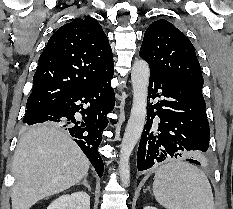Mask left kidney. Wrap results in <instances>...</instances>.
I'll return each mask as SVG.
<instances>
[{
    "instance_id": "obj_1",
    "label": "left kidney",
    "mask_w": 233,
    "mask_h": 209,
    "mask_svg": "<svg viewBox=\"0 0 233 209\" xmlns=\"http://www.w3.org/2000/svg\"><path fill=\"white\" fill-rule=\"evenodd\" d=\"M143 209H157V208L152 207V206H146V207H144Z\"/></svg>"
}]
</instances>
